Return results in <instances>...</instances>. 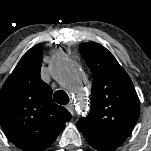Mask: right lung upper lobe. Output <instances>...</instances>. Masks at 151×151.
Listing matches in <instances>:
<instances>
[{"instance_id": "right-lung-upper-lobe-1", "label": "right lung upper lobe", "mask_w": 151, "mask_h": 151, "mask_svg": "<svg viewBox=\"0 0 151 151\" xmlns=\"http://www.w3.org/2000/svg\"><path fill=\"white\" fill-rule=\"evenodd\" d=\"M42 47L21 58L0 91V125L17 147L44 151L70 121L71 114L52 100L51 87L40 77Z\"/></svg>"}]
</instances>
